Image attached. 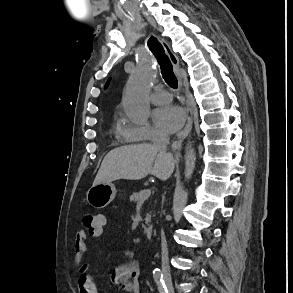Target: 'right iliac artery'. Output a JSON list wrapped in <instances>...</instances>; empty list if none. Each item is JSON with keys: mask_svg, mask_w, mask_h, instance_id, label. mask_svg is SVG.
<instances>
[{"mask_svg": "<svg viewBox=\"0 0 293 293\" xmlns=\"http://www.w3.org/2000/svg\"><path fill=\"white\" fill-rule=\"evenodd\" d=\"M153 278L158 286L160 293H168L167 287L163 280V274L160 269L156 268L153 270Z\"/></svg>", "mask_w": 293, "mask_h": 293, "instance_id": "obj_1", "label": "right iliac artery"}]
</instances>
